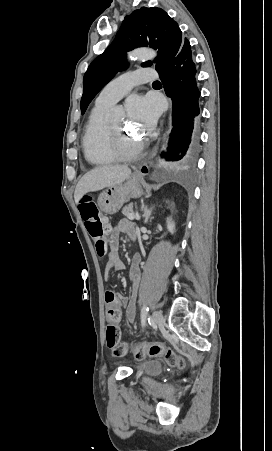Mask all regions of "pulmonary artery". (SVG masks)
<instances>
[{
    "label": "pulmonary artery",
    "mask_w": 272,
    "mask_h": 451,
    "mask_svg": "<svg viewBox=\"0 0 272 451\" xmlns=\"http://www.w3.org/2000/svg\"><path fill=\"white\" fill-rule=\"evenodd\" d=\"M155 75L156 72L149 65H141L138 70L130 68L126 74L121 75L115 82L110 83L101 91L96 103H115L127 96L133 86L140 83L148 84L154 79ZM125 78H128V80Z\"/></svg>",
    "instance_id": "pulmonary-artery-1"
}]
</instances>
